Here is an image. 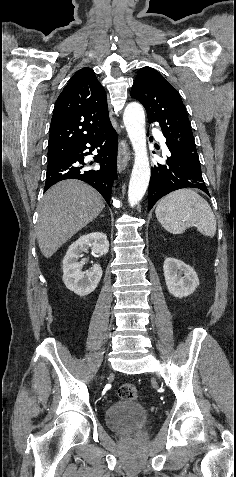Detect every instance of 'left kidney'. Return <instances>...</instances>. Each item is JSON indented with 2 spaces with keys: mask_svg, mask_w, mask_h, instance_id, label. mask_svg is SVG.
I'll use <instances>...</instances> for the list:
<instances>
[{
  "mask_svg": "<svg viewBox=\"0 0 236 477\" xmlns=\"http://www.w3.org/2000/svg\"><path fill=\"white\" fill-rule=\"evenodd\" d=\"M163 271L168 291L175 297H186L199 285L195 270L181 260L167 258L164 261Z\"/></svg>",
  "mask_w": 236,
  "mask_h": 477,
  "instance_id": "5707ae66",
  "label": "left kidney"
}]
</instances>
